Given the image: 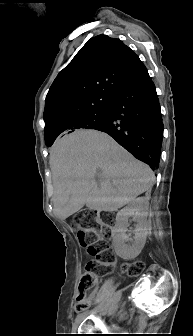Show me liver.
I'll return each mask as SVG.
<instances>
[{
	"mask_svg": "<svg viewBox=\"0 0 193 336\" xmlns=\"http://www.w3.org/2000/svg\"><path fill=\"white\" fill-rule=\"evenodd\" d=\"M49 163L54 212L62 220L84 205L98 212L115 211L149 192L155 181L147 164L96 130H79L58 140Z\"/></svg>",
	"mask_w": 193,
	"mask_h": 336,
	"instance_id": "obj_1",
	"label": "liver"
}]
</instances>
